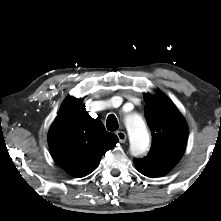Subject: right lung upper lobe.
Returning <instances> with one entry per match:
<instances>
[{
    "instance_id": "right-lung-upper-lobe-1",
    "label": "right lung upper lobe",
    "mask_w": 221,
    "mask_h": 221,
    "mask_svg": "<svg viewBox=\"0 0 221 221\" xmlns=\"http://www.w3.org/2000/svg\"><path fill=\"white\" fill-rule=\"evenodd\" d=\"M117 142V136L107 132L100 120L91 118L82 101L74 97L64 101L48 135L54 159L75 177L90 174Z\"/></svg>"
}]
</instances>
